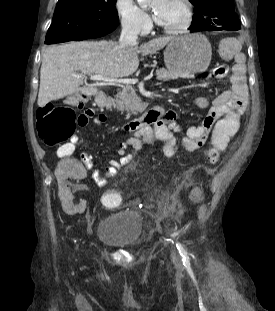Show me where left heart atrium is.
Instances as JSON below:
<instances>
[{
    "instance_id": "obj_1",
    "label": "left heart atrium",
    "mask_w": 275,
    "mask_h": 311,
    "mask_svg": "<svg viewBox=\"0 0 275 311\" xmlns=\"http://www.w3.org/2000/svg\"><path fill=\"white\" fill-rule=\"evenodd\" d=\"M155 19H156V21L158 22V20H159V19H158V17H157V16H155Z\"/></svg>"
}]
</instances>
